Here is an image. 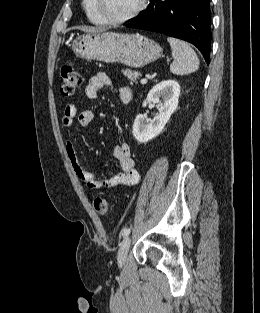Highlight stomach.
Listing matches in <instances>:
<instances>
[{
    "label": "stomach",
    "mask_w": 260,
    "mask_h": 313,
    "mask_svg": "<svg viewBox=\"0 0 260 313\" xmlns=\"http://www.w3.org/2000/svg\"><path fill=\"white\" fill-rule=\"evenodd\" d=\"M71 46L77 57L117 62L133 68L152 63L162 55V48L157 42L138 33H86L74 39Z\"/></svg>",
    "instance_id": "stomach-1"
}]
</instances>
